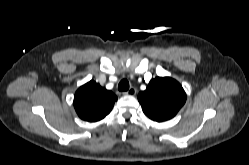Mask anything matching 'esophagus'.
Masks as SVG:
<instances>
[{
    "label": "esophagus",
    "instance_id": "esophagus-1",
    "mask_svg": "<svg viewBox=\"0 0 249 165\" xmlns=\"http://www.w3.org/2000/svg\"><path fill=\"white\" fill-rule=\"evenodd\" d=\"M125 95H135L136 94V88L131 87L127 92L124 93Z\"/></svg>",
    "mask_w": 249,
    "mask_h": 165
}]
</instances>
